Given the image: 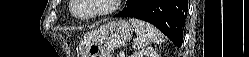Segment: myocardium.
<instances>
[{
	"label": "myocardium",
	"instance_id": "1",
	"mask_svg": "<svg viewBox=\"0 0 249 57\" xmlns=\"http://www.w3.org/2000/svg\"><path fill=\"white\" fill-rule=\"evenodd\" d=\"M108 1H109V3H108V7L106 9H103V10H101L97 13H93V14L77 15L75 13V8H76V5L78 3V0H72L71 4H70V12L75 18H77L79 20H90V19H95L98 17H102V16H106V15L114 13L119 8V6L122 2V0H108Z\"/></svg>",
	"mask_w": 249,
	"mask_h": 57
}]
</instances>
